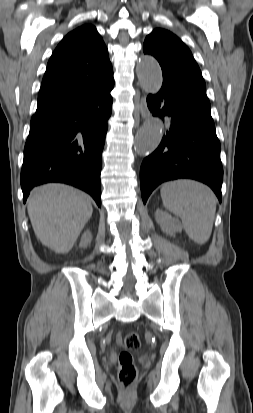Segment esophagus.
<instances>
[{"label":"esophagus","mask_w":253,"mask_h":413,"mask_svg":"<svg viewBox=\"0 0 253 413\" xmlns=\"http://www.w3.org/2000/svg\"><path fill=\"white\" fill-rule=\"evenodd\" d=\"M138 109H139V112H140V115H141V117L144 119V118H147L148 116H149V110H148V107H147V103H146V98L145 97H142L141 99H140V102H139V104H138Z\"/></svg>","instance_id":"esophagus-1"}]
</instances>
